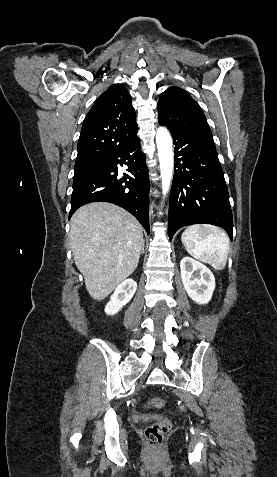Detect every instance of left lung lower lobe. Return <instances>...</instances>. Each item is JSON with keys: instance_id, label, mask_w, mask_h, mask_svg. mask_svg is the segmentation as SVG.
<instances>
[{"instance_id": "obj_1", "label": "left lung lower lobe", "mask_w": 277, "mask_h": 477, "mask_svg": "<svg viewBox=\"0 0 277 477\" xmlns=\"http://www.w3.org/2000/svg\"><path fill=\"white\" fill-rule=\"evenodd\" d=\"M170 132L175 144L168 220L170 239L183 226L207 223L225 229L232 240L229 194L211 132Z\"/></svg>"}]
</instances>
